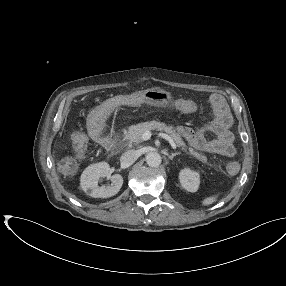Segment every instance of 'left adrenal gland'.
Returning <instances> with one entry per match:
<instances>
[{"label": "left adrenal gland", "instance_id": "1", "mask_svg": "<svg viewBox=\"0 0 286 286\" xmlns=\"http://www.w3.org/2000/svg\"><path fill=\"white\" fill-rule=\"evenodd\" d=\"M181 153L180 152H175V153H172V154H168V158L173 160V158L176 156V155H180Z\"/></svg>", "mask_w": 286, "mask_h": 286}]
</instances>
